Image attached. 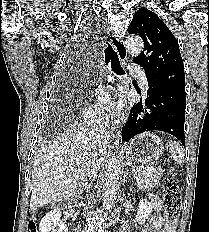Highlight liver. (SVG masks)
<instances>
[{
    "mask_svg": "<svg viewBox=\"0 0 209 232\" xmlns=\"http://www.w3.org/2000/svg\"><path fill=\"white\" fill-rule=\"evenodd\" d=\"M105 143L80 125L72 126L43 147L32 166L30 210L66 201L84 185L95 158L101 163Z\"/></svg>",
    "mask_w": 209,
    "mask_h": 232,
    "instance_id": "1",
    "label": "liver"
}]
</instances>
